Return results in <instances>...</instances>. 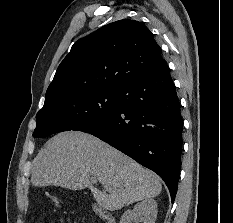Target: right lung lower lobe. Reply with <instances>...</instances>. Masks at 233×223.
Returning <instances> with one entry per match:
<instances>
[{"label": "right lung lower lobe", "instance_id": "98d812e1", "mask_svg": "<svg viewBox=\"0 0 233 223\" xmlns=\"http://www.w3.org/2000/svg\"><path fill=\"white\" fill-rule=\"evenodd\" d=\"M120 89L116 111L78 131L92 134L157 173L172 202L181 167L183 121L166 64Z\"/></svg>", "mask_w": 233, "mask_h": 223}]
</instances>
